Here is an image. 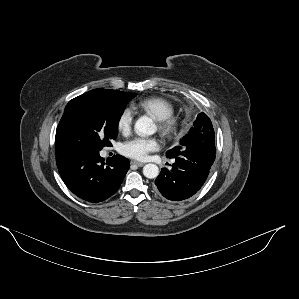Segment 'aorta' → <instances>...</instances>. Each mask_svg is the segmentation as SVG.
I'll use <instances>...</instances> for the list:
<instances>
[{"mask_svg": "<svg viewBox=\"0 0 299 299\" xmlns=\"http://www.w3.org/2000/svg\"><path fill=\"white\" fill-rule=\"evenodd\" d=\"M134 130L140 136H150L157 131V127L151 118L142 116L136 121ZM143 174L149 179L156 178L159 174V168L157 165L152 163L146 164L143 167Z\"/></svg>", "mask_w": 299, "mask_h": 299, "instance_id": "aorta-1", "label": "aorta"}]
</instances>
